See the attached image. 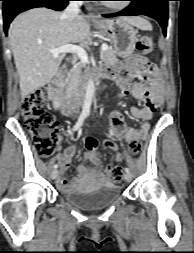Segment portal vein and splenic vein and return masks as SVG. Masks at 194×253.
Masks as SVG:
<instances>
[{
	"label": "portal vein and splenic vein",
	"instance_id": "1",
	"mask_svg": "<svg viewBox=\"0 0 194 253\" xmlns=\"http://www.w3.org/2000/svg\"><path fill=\"white\" fill-rule=\"evenodd\" d=\"M107 49H108V46L106 44H103L101 46V52ZM49 52L52 54L53 57H57L63 53H74L78 55V57L83 63H88L89 61L86 51L82 47L72 45V44H67L58 48L50 49Z\"/></svg>",
	"mask_w": 194,
	"mask_h": 253
}]
</instances>
